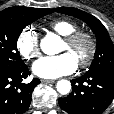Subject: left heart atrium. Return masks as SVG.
<instances>
[{
	"mask_svg": "<svg viewBox=\"0 0 114 114\" xmlns=\"http://www.w3.org/2000/svg\"><path fill=\"white\" fill-rule=\"evenodd\" d=\"M77 61L69 52L57 56H44L33 63V73L44 79H54L73 73Z\"/></svg>",
	"mask_w": 114,
	"mask_h": 114,
	"instance_id": "obj_1",
	"label": "left heart atrium"
}]
</instances>
